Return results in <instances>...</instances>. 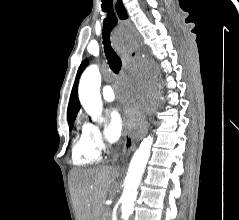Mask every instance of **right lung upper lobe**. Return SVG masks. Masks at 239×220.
<instances>
[{
  "label": "right lung upper lobe",
  "mask_w": 239,
  "mask_h": 220,
  "mask_svg": "<svg viewBox=\"0 0 239 220\" xmlns=\"http://www.w3.org/2000/svg\"><path fill=\"white\" fill-rule=\"evenodd\" d=\"M87 66V61L84 60L77 72V76L72 88V92L70 95V100H69V105H68V110H67V118L68 121H71L73 119L76 118L77 112L80 109V104H79V100H78V95H77V88H78V82H79V78L81 73L83 72V70L85 69V67Z\"/></svg>",
  "instance_id": "obj_1"
}]
</instances>
